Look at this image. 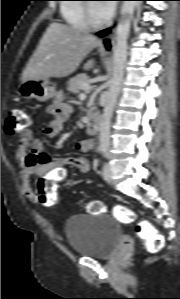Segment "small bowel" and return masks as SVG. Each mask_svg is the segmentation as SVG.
Listing matches in <instances>:
<instances>
[{
  "label": "small bowel",
  "mask_w": 180,
  "mask_h": 299,
  "mask_svg": "<svg viewBox=\"0 0 180 299\" xmlns=\"http://www.w3.org/2000/svg\"><path fill=\"white\" fill-rule=\"evenodd\" d=\"M50 121L44 128L48 137L56 136L61 132L63 124L72 115V107L63 101V96L58 95L56 100L47 109ZM94 143L91 139H84L78 144V149L86 152L92 150ZM16 158L20 168L22 190L27 198L32 201L38 200V187L48 181L57 182L66 177L72 168L81 173L90 169V161L87 158H56L43 152L42 142L35 139L29 129L21 131L20 139L16 148ZM38 178L37 189L32 185V180Z\"/></svg>",
  "instance_id": "c3829d8e"
}]
</instances>
